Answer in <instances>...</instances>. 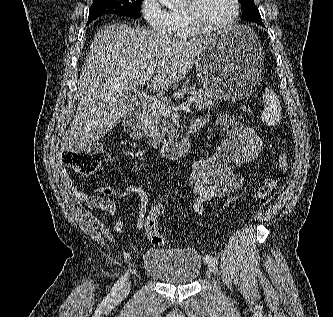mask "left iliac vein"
Segmentation results:
<instances>
[{"label":"left iliac vein","mask_w":333,"mask_h":317,"mask_svg":"<svg viewBox=\"0 0 333 317\" xmlns=\"http://www.w3.org/2000/svg\"><path fill=\"white\" fill-rule=\"evenodd\" d=\"M208 268H209V270H210L211 272H213L215 275L218 274V267H217V265H216L215 263H213V262L208 263Z\"/></svg>","instance_id":"4c4485c4"}]
</instances>
